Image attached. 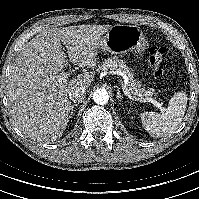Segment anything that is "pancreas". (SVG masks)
I'll use <instances>...</instances> for the list:
<instances>
[{"label":"pancreas","instance_id":"cf45deb5","mask_svg":"<svg viewBox=\"0 0 199 199\" xmlns=\"http://www.w3.org/2000/svg\"><path fill=\"white\" fill-rule=\"evenodd\" d=\"M98 70H115L124 74L128 79V90L139 97L148 98L153 94L151 90L141 88V84L134 79L133 73L130 71V67L127 66L123 60L118 59L116 56L104 60V62L98 67Z\"/></svg>","mask_w":199,"mask_h":199}]
</instances>
